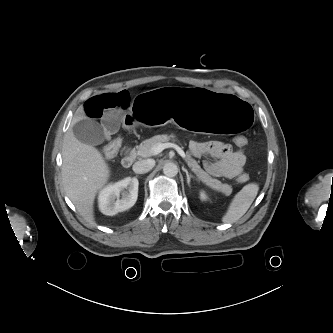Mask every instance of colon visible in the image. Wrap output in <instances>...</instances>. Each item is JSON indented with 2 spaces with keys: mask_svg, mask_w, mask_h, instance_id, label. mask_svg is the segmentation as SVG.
<instances>
[{
  "mask_svg": "<svg viewBox=\"0 0 333 333\" xmlns=\"http://www.w3.org/2000/svg\"><path fill=\"white\" fill-rule=\"evenodd\" d=\"M234 142L237 146L243 147L247 144V139L246 137L239 135L236 136L234 138ZM120 140L119 139H113L110 142H108L102 149V154L106 157V158H112L114 157L119 148H120ZM249 180V175L246 173L241 174L238 177V181L241 183H245Z\"/></svg>",
  "mask_w": 333,
  "mask_h": 333,
  "instance_id": "colon-1",
  "label": "colon"
}]
</instances>
